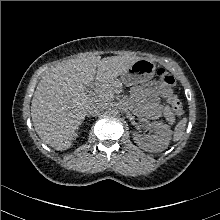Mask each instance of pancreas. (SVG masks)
Masks as SVG:
<instances>
[{
  "instance_id": "cf45deb5",
  "label": "pancreas",
  "mask_w": 220,
  "mask_h": 220,
  "mask_svg": "<svg viewBox=\"0 0 220 220\" xmlns=\"http://www.w3.org/2000/svg\"><path fill=\"white\" fill-rule=\"evenodd\" d=\"M95 100L96 102L103 104V102L108 100V94H105V93L99 94L97 97H95ZM163 111L166 116L172 115V111L169 107H164Z\"/></svg>"
}]
</instances>
